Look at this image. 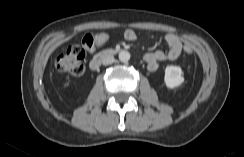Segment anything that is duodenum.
<instances>
[{"instance_id": "duodenum-1", "label": "duodenum", "mask_w": 244, "mask_h": 157, "mask_svg": "<svg viewBox=\"0 0 244 157\" xmlns=\"http://www.w3.org/2000/svg\"><path fill=\"white\" fill-rule=\"evenodd\" d=\"M120 51H121L120 49H106V50H103V51L95 54L90 61V64H89L90 68L92 70H96L101 65V63L103 62L104 59H106L110 56H113V55L119 53Z\"/></svg>"}]
</instances>
